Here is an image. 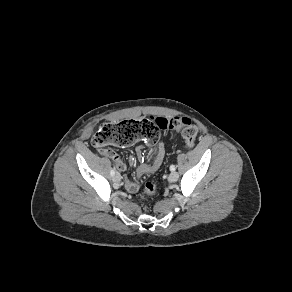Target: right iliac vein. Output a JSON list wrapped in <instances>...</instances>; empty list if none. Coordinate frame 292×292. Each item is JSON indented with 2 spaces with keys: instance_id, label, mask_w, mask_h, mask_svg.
Wrapping results in <instances>:
<instances>
[{
  "instance_id": "right-iliac-vein-1",
  "label": "right iliac vein",
  "mask_w": 292,
  "mask_h": 292,
  "mask_svg": "<svg viewBox=\"0 0 292 292\" xmlns=\"http://www.w3.org/2000/svg\"><path fill=\"white\" fill-rule=\"evenodd\" d=\"M113 181H114V183H116V184H119V183H120V181H121V176H120L119 173H116V174L113 176Z\"/></svg>"
}]
</instances>
